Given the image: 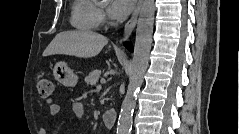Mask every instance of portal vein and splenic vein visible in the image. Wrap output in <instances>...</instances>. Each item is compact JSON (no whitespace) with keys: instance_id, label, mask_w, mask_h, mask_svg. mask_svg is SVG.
I'll return each instance as SVG.
<instances>
[{"instance_id":"18ae733b","label":"portal vein and splenic vein","mask_w":239,"mask_h":134,"mask_svg":"<svg viewBox=\"0 0 239 134\" xmlns=\"http://www.w3.org/2000/svg\"><path fill=\"white\" fill-rule=\"evenodd\" d=\"M100 82H101V84L105 83V79H101Z\"/></svg>"}]
</instances>
